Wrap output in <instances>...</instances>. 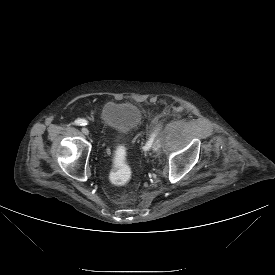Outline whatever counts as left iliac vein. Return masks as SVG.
Listing matches in <instances>:
<instances>
[{
	"label": "left iliac vein",
	"mask_w": 275,
	"mask_h": 275,
	"mask_svg": "<svg viewBox=\"0 0 275 275\" xmlns=\"http://www.w3.org/2000/svg\"><path fill=\"white\" fill-rule=\"evenodd\" d=\"M161 147V139L160 138H156L152 144V150L154 152L158 151Z\"/></svg>",
	"instance_id": "1"
}]
</instances>
